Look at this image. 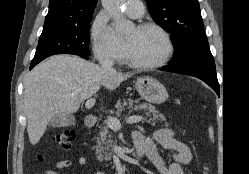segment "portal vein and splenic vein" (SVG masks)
I'll return each instance as SVG.
<instances>
[{"instance_id": "1", "label": "portal vein and splenic vein", "mask_w": 249, "mask_h": 174, "mask_svg": "<svg viewBox=\"0 0 249 174\" xmlns=\"http://www.w3.org/2000/svg\"><path fill=\"white\" fill-rule=\"evenodd\" d=\"M94 104H95V98H91V99L86 101L85 107L87 109H89V108L93 107ZM141 120H142V116L134 115V116L128 117L126 122L127 123H137V122H140ZM107 123H108L109 128H111L114 131H118L121 128L120 121L115 117L109 116L107 119Z\"/></svg>"}]
</instances>
